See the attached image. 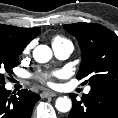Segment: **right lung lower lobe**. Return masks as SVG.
I'll use <instances>...</instances> for the list:
<instances>
[{
	"instance_id": "98d812e1",
	"label": "right lung lower lobe",
	"mask_w": 118,
	"mask_h": 118,
	"mask_svg": "<svg viewBox=\"0 0 118 118\" xmlns=\"http://www.w3.org/2000/svg\"><path fill=\"white\" fill-rule=\"evenodd\" d=\"M18 96L0 86V118H30L40 96L28 90H21Z\"/></svg>"
}]
</instances>
